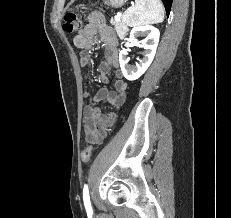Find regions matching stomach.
<instances>
[{
	"label": "stomach",
	"instance_id": "0dacf381",
	"mask_svg": "<svg viewBox=\"0 0 231 218\" xmlns=\"http://www.w3.org/2000/svg\"><path fill=\"white\" fill-rule=\"evenodd\" d=\"M126 0H105V3L111 7L119 8L124 5Z\"/></svg>",
	"mask_w": 231,
	"mask_h": 218
}]
</instances>
